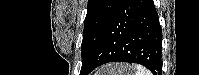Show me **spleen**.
I'll use <instances>...</instances> for the list:
<instances>
[{
	"instance_id": "3e777b00",
	"label": "spleen",
	"mask_w": 199,
	"mask_h": 75,
	"mask_svg": "<svg viewBox=\"0 0 199 75\" xmlns=\"http://www.w3.org/2000/svg\"><path fill=\"white\" fill-rule=\"evenodd\" d=\"M134 68L136 69L135 75H152L151 72L143 66L135 65Z\"/></svg>"
}]
</instances>
